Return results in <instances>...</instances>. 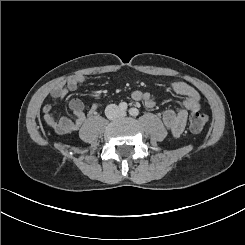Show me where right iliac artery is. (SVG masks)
Here are the masks:
<instances>
[{"label":"right iliac artery","instance_id":"right-iliac-artery-1","mask_svg":"<svg viewBox=\"0 0 245 245\" xmlns=\"http://www.w3.org/2000/svg\"><path fill=\"white\" fill-rule=\"evenodd\" d=\"M127 108H128V106H127V103H126V102H121V103L119 104V109H120L121 111H126Z\"/></svg>","mask_w":245,"mask_h":245}]
</instances>
